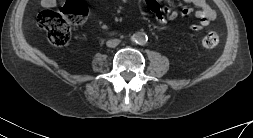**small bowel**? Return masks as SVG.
Here are the masks:
<instances>
[{"label": "small bowel", "mask_w": 253, "mask_h": 138, "mask_svg": "<svg viewBox=\"0 0 253 138\" xmlns=\"http://www.w3.org/2000/svg\"><path fill=\"white\" fill-rule=\"evenodd\" d=\"M192 3L198 10L195 13V17L198 20L197 24L190 27L193 31H201L209 25L215 19V12L208 5L206 0H185ZM44 7H53L56 4V0H42ZM146 3L150 11L154 14L156 21L160 25H165L169 20H175L178 16L186 17L192 13V8L184 7L180 12L173 5L160 7L157 0H146Z\"/></svg>", "instance_id": "c3829d8e"}]
</instances>
